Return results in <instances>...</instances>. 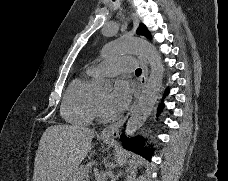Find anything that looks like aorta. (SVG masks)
<instances>
[{
  "label": "aorta",
  "mask_w": 228,
  "mask_h": 181,
  "mask_svg": "<svg viewBox=\"0 0 228 181\" xmlns=\"http://www.w3.org/2000/svg\"><path fill=\"white\" fill-rule=\"evenodd\" d=\"M125 53H136L144 56L151 68L144 93L127 122L126 134L130 136L142 127L157 103L163 82L164 65L155 46L140 38L123 37L108 43L102 49L101 55L108 58ZM94 87L99 92H105L111 87V83L104 79H98Z\"/></svg>",
  "instance_id": "obj_1"
}]
</instances>
